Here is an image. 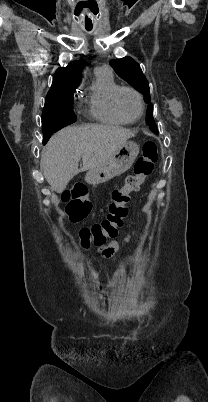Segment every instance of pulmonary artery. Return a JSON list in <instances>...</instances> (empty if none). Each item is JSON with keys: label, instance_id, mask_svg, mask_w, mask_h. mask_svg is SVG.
I'll return each instance as SVG.
<instances>
[{"label": "pulmonary artery", "instance_id": "pulmonary-artery-1", "mask_svg": "<svg viewBox=\"0 0 208 402\" xmlns=\"http://www.w3.org/2000/svg\"><path fill=\"white\" fill-rule=\"evenodd\" d=\"M95 71L105 73L108 76H113L112 70L108 65L98 66L95 68Z\"/></svg>", "mask_w": 208, "mask_h": 402}]
</instances>
